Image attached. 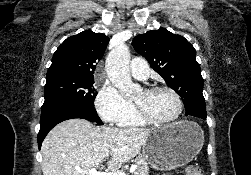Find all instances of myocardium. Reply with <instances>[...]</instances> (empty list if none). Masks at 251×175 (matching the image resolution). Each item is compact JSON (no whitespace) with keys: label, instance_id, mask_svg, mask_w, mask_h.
<instances>
[{"label":"myocardium","instance_id":"1","mask_svg":"<svg viewBox=\"0 0 251 175\" xmlns=\"http://www.w3.org/2000/svg\"><path fill=\"white\" fill-rule=\"evenodd\" d=\"M149 90H153V91L166 90V91L171 92L174 95V97L178 103L179 113H178V116L174 120L160 121V120L156 119L155 117L151 116L150 114L144 113V112L140 111L138 108H136L137 113L142 120H145L149 124H153L155 126L170 127V126H174V125L180 123L184 119L185 105H184L182 95L180 94V92L177 89H175L169 85H158V86L151 87Z\"/></svg>","mask_w":251,"mask_h":175}]
</instances>
